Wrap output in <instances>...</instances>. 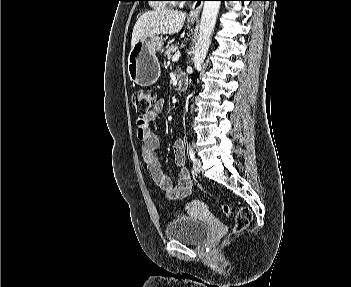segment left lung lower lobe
<instances>
[{
    "mask_svg": "<svg viewBox=\"0 0 351 287\" xmlns=\"http://www.w3.org/2000/svg\"><path fill=\"white\" fill-rule=\"evenodd\" d=\"M221 1H230V0H221Z\"/></svg>",
    "mask_w": 351,
    "mask_h": 287,
    "instance_id": "1",
    "label": "left lung lower lobe"
}]
</instances>
